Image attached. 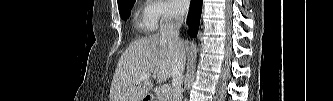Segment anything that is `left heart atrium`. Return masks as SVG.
I'll return each mask as SVG.
<instances>
[{
  "instance_id": "obj_1",
  "label": "left heart atrium",
  "mask_w": 333,
  "mask_h": 101,
  "mask_svg": "<svg viewBox=\"0 0 333 101\" xmlns=\"http://www.w3.org/2000/svg\"><path fill=\"white\" fill-rule=\"evenodd\" d=\"M172 4L174 7L179 11L183 12L187 9L188 7V1L187 0H173Z\"/></svg>"
}]
</instances>
